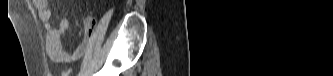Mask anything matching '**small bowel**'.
Masks as SVG:
<instances>
[{"label": "small bowel", "instance_id": "1", "mask_svg": "<svg viewBox=\"0 0 333 76\" xmlns=\"http://www.w3.org/2000/svg\"><path fill=\"white\" fill-rule=\"evenodd\" d=\"M37 8L39 19L44 23L46 30V52L50 59L55 63H64L77 60L88 47L96 20L93 17H86L84 20V39L76 48L73 54H68L63 50L62 37L67 36L70 30L68 20H62L59 28H54L50 23L51 12L46 0H33Z\"/></svg>", "mask_w": 333, "mask_h": 76}]
</instances>
